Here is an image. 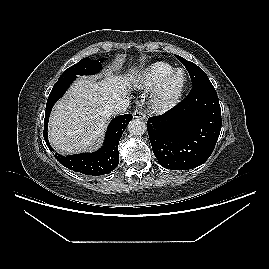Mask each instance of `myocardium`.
<instances>
[{"label": "myocardium", "mask_w": 269, "mask_h": 269, "mask_svg": "<svg viewBox=\"0 0 269 269\" xmlns=\"http://www.w3.org/2000/svg\"><path fill=\"white\" fill-rule=\"evenodd\" d=\"M182 75L180 85L171 89L172 82ZM188 85V75L184 69L178 68L165 77L152 91L149 105L153 112L163 114L173 109L182 99Z\"/></svg>", "instance_id": "obj_1"}]
</instances>
